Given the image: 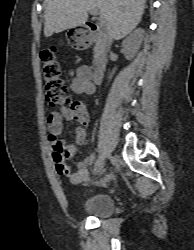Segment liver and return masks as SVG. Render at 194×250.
Instances as JSON below:
<instances>
[{"mask_svg": "<svg viewBox=\"0 0 194 250\" xmlns=\"http://www.w3.org/2000/svg\"><path fill=\"white\" fill-rule=\"evenodd\" d=\"M145 0H47L44 35L85 25L88 12L97 10L112 39L128 35L141 21Z\"/></svg>", "mask_w": 194, "mask_h": 250, "instance_id": "6515ba94", "label": "liver"}]
</instances>
